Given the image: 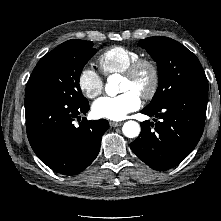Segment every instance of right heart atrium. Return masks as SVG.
Here are the masks:
<instances>
[{
  "label": "right heart atrium",
  "mask_w": 221,
  "mask_h": 221,
  "mask_svg": "<svg viewBox=\"0 0 221 221\" xmlns=\"http://www.w3.org/2000/svg\"><path fill=\"white\" fill-rule=\"evenodd\" d=\"M77 82L80 91L89 99L96 98L104 90L103 77L91 66L80 70Z\"/></svg>",
  "instance_id": "1"
}]
</instances>
